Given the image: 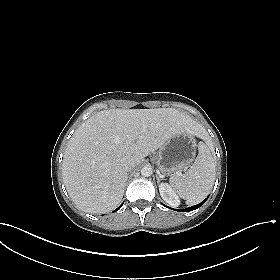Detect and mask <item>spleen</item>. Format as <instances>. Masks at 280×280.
Wrapping results in <instances>:
<instances>
[{"label":"spleen","instance_id":"3e777b00","mask_svg":"<svg viewBox=\"0 0 280 280\" xmlns=\"http://www.w3.org/2000/svg\"><path fill=\"white\" fill-rule=\"evenodd\" d=\"M216 163L209 146L200 142L198 155L184 174L176 173L170 177V184L186 204L201 202L210 192L215 181Z\"/></svg>","mask_w":280,"mask_h":280}]
</instances>
